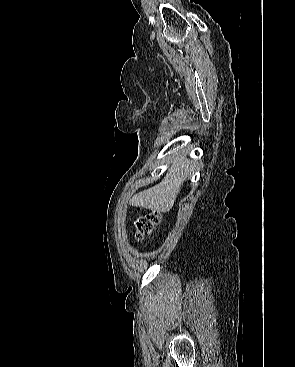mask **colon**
<instances>
[{
  "mask_svg": "<svg viewBox=\"0 0 295 367\" xmlns=\"http://www.w3.org/2000/svg\"><path fill=\"white\" fill-rule=\"evenodd\" d=\"M161 216L152 212L143 217H140L136 221V237L137 239H143L153 233L155 227L160 223Z\"/></svg>",
  "mask_w": 295,
  "mask_h": 367,
  "instance_id": "obj_1",
  "label": "colon"
}]
</instances>
